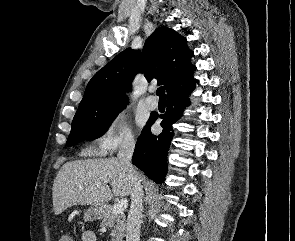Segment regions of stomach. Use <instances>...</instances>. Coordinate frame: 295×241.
Here are the masks:
<instances>
[{
    "label": "stomach",
    "mask_w": 295,
    "mask_h": 241,
    "mask_svg": "<svg viewBox=\"0 0 295 241\" xmlns=\"http://www.w3.org/2000/svg\"><path fill=\"white\" fill-rule=\"evenodd\" d=\"M105 213V206L100 204H93L84 211V219L86 221H93L103 217Z\"/></svg>",
    "instance_id": "1"
}]
</instances>
